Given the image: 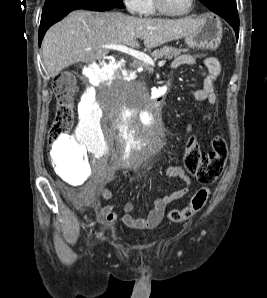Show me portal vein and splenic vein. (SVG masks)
Returning <instances> with one entry per match:
<instances>
[{
    "mask_svg": "<svg viewBox=\"0 0 267 298\" xmlns=\"http://www.w3.org/2000/svg\"><path fill=\"white\" fill-rule=\"evenodd\" d=\"M101 48L121 51L123 53L132 55L133 57H136L137 59L145 62L146 64H148L150 66H153V67L155 66V62L150 56H148L145 53H142L140 51L129 48L126 45H123V44H108V45L101 46ZM164 62L165 61L160 62L159 65H162Z\"/></svg>",
    "mask_w": 267,
    "mask_h": 298,
    "instance_id": "18ae733b",
    "label": "portal vein and splenic vein"
}]
</instances>
